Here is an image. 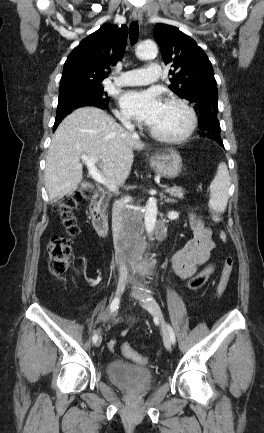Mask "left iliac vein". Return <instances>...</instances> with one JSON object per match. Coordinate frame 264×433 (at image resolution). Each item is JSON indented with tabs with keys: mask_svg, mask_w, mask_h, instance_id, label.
Wrapping results in <instances>:
<instances>
[{
	"mask_svg": "<svg viewBox=\"0 0 264 433\" xmlns=\"http://www.w3.org/2000/svg\"><path fill=\"white\" fill-rule=\"evenodd\" d=\"M146 297L147 296L137 297V299L145 309H147L151 314H153L160 321L162 327L164 345L167 350H170L172 346V341H171L169 330L163 318L161 309L158 303L154 299H150V298L147 299Z\"/></svg>",
	"mask_w": 264,
	"mask_h": 433,
	"instance_id": "1",
	"label": "left iliac vein"
}]
</instances>
